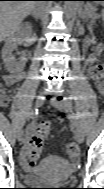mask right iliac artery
I'll return each mask as SVG.
<instances>
[{
	"instance_id": "82829eb1",
	"label": "right iliac artery",
	"mask_w": 104,
	"mask_h": 189,
	"mask_svg": "<svg viewBox=\"0 0 104 189\" xmlns=\"http://www.w3.org/2000/svg\"><path fill=\"white\" fill-rule=\"evenodd\" d=\"M37 114H38V109L32 110L29 113L28 119H26V122H22V125H21L22 130H25L26 125H29V122H31V119H34Z\"/></svg>"
}]
</instances>
